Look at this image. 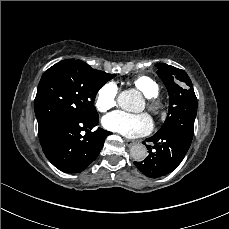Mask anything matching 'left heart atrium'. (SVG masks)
Masks as SVG:
<instances>
[{
  "instance_id": "left-heart-atrium-1",
  "label": "left heart atrium",
  "mask_w": 229,
  "mask_h": 229,
  "mask_svg": "<svg viewBox=\"0 0 229 229\" xmlns=\"http://www.w3.org/2000/svg\"><path fill=\"white\" fill-rule=\"evenodd\" d=\"M102 123L106 129L130 138L144 136L153 128L152 118L147 113L115 111L106 115Z\"/></svg>"
}]
</instances>
